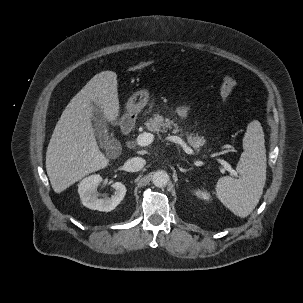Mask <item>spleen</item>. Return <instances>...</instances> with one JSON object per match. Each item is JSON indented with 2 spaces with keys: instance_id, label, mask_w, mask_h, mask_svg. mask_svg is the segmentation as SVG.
Listing matches in <instances>:
<instances>
[{
  "instance_id": "spleen-1",
  "label": "spleen",
  "mask_w": 303,
  "mask_h": 303,
  "mask_svg": "<svg viewBox=\"0 0 303 303\" xmlns=\"http://www.w3.org/2000/svg\"><path fill=\"white\" fill-rule=\"evenodd\" d=\"M243 153L237 164L239 178L221 177L216 196L236 216L247 217L257 206L266 181V149L262 126L254 120L243 137Z\"/></svg>"
}]
</instances>
